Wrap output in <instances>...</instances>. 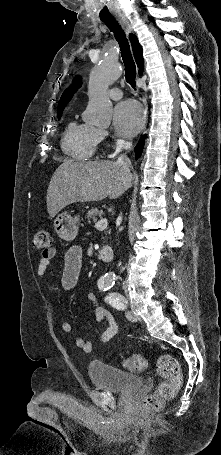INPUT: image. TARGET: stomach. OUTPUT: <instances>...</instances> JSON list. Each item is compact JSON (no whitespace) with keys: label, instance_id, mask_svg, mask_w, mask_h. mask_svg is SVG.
Instances as JSON below:
<instances>
[{"label":"stomach","instance_id":"obj_1","mask_svg":"<svg viewBox=\"0 0 221 455\" xmlns=\"http://www.w3.org/2000/svg\"><path fill=\"white\" fill-rule=\"evenodd\" d=\"M79 216H71L67 213L59 214L54 220L55 233L65 241H73L78 234Z\"/></svg>","mask_w":221,"mask_h":455}]
</instances>
